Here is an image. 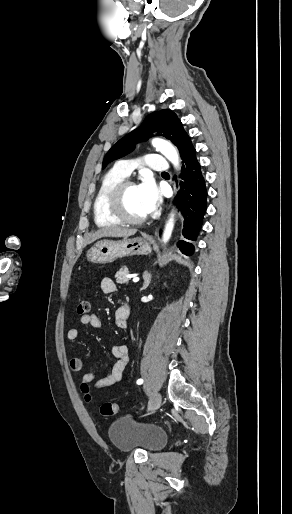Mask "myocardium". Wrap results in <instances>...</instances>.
I'll return each mask as SVG.
<instances>
[{
  "label": "myocardium",
  "mask_w": 292,
  "mask_h": 514,
  "mask_svg": "<svg viewBox=\"0 0 292 514\" xmlns=\"http://www.w3.org/2000/svg\"><path fill=\"white\" fill-rule=\"evenodd\" d=\"M137 187L135 182L124 180L112 187L105 196V208L107 213L119 223L137 225L146 221L148 213L140 217H129L125 215L121 207V197L123 192L130 188Z\"/></svg>",
  "instance_id": "obj_1"
}]
</instances>
